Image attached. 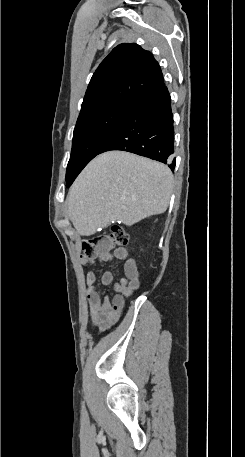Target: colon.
Masks as SVG:
<instances>
[{
  "label": "colon",
  "instance_id": "colon-1",
  "mask_svg": "<svg viewBox=\"0 0 245 457\" xmlns=\"http://www.w3.org/2000/svg\"><path fill=\"white\" fill-rule=\"evenodd\" d=\"M128 242V234L118 225H113L109 233H99L82 243L81 257L83 259L102 256L115 248L123 247Z\"/></svg>",
  "mask_w": 245,
  "mask_h": 457
}]
</instances>
